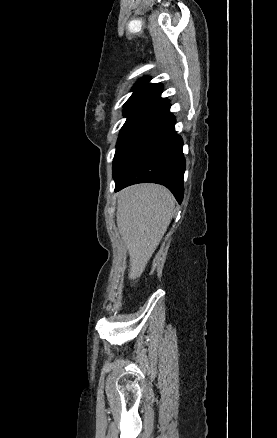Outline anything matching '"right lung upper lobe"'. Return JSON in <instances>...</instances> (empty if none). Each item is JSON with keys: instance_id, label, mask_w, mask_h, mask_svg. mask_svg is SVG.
<instances>
[{"instance_id": "1", "label": "right lung upper lobe", "mask_w": 277, "mask_h": 438, "mask_svg": "<svg viewBox=\"0 0 277 438\" xmlns=\"http://www.w3.org/2000/svg\"><path fill=\"white\" fill-rule=\"evenodd\" d=\"M149 77L140 79L133 87L132 96L124 104V115L137 116L146 113L167 111L170 103L166 98H161L163 87L161 84H150Z\"/></svg>"}]
</instances>
